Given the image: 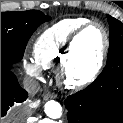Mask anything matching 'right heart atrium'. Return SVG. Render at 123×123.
<instances>
[{"label": "right heart atrium", "instance_id": "obj_1", "mask_svg": "<svg viewBox=\"0 0 123 123\" xmlns=\"http://www.w3.org/2000/svg\"><path fill=\"white\" fill-rule=\"evenodd\" d=\"M22 66L30 76L40 78L42 74L41 66L32 58H23Z\"/></svg>", "mask_w": 123, "mask_h": 123}]
</instances>
